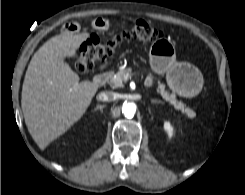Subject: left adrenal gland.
I'll return each instance as SVG.
<instances>
[{
    "label": "left adrenal gland",
    "mask_w": 245,
    "mask_h": 195,
    "mask_svg": "<svg viewBox=\"0 0 245 195\" xmlns=\"http://www.w3.org/2000/svg\"><path fill=\"white\" fill-rule=\"evenodd\" d=\"M151 102H152V103H163L162 101H160V100H155V99H152Z\"/></svg>",
    "instance_id": "left-adrenal-gland-1"
}]
</instances>
